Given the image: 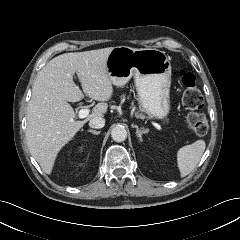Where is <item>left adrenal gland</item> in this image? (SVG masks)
Listing matches in <instances>:
<instances>
[{
	"mask_svg": "<svg viewBox=\"0 0 240 240\" xmlns=\"http://www.w3.org/2000/svg\"><path fill=\"white\" fill-rule=\"evenodd\" d=\"M133 128H136V136L142 141V135L148 133L147 129L140 130L137 125H133Z\"/></svg>",
	"mask_w": 240,
	"mask_h": 240,
	"instance_id": "left-adrenal-gland-1",
	"label": "left adrenal gland"
}]
</instances>
